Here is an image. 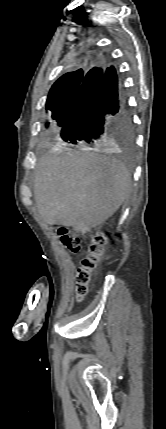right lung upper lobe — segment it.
I'll return each instance as SVG.
<instances>
[{
  "instance_id": "right-lung-upper-lobe-1",
  "label": "right lung upper lobe",
  "mask_w": 166,
  "mask_h": 429,
  "mask_svg": "<svg viewBox=\"0 0 166 429\" xmlns=\"http://www.w3.org/2000/svg\"><path fill=\"white\" fill-rule=\"evenodd\" d=\"M85 71L82 69H78L77 71L74 72H68L66 74H64L63 76H61L54 84L59 83L62 80H65L67 78H70L72 76H76V75H84Z\"/></svg>"
}]
</instances>
